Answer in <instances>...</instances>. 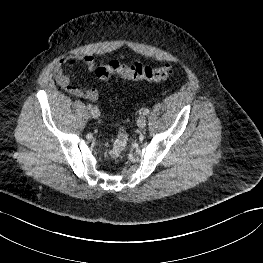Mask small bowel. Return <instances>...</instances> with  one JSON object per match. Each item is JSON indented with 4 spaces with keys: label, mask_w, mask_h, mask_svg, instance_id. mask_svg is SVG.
I'll use <instances>...</instances> for the list:
<instances>
[{
    "label": "small bowel",
    "mask_w": 263,
    "mask_h": 263,
    "mask_svg": "<svg viewBox=\"0 0 263 263\" xmlns=\"http://www.w3.org/2000/svg\"><path fill=\"white\" fill-rule=\"evenodd\" d=\"M79 64L85 65L88 70L93 71L96 69L97 63L92 55H77L69 56L61 59L54 68V77L56 82L68 93L84 98L90 101H96L99 97V93L95 88H85L81 85L74 84L67 71Z\"/></svg>",
    "instance_id": "1"
}]
</instances>
